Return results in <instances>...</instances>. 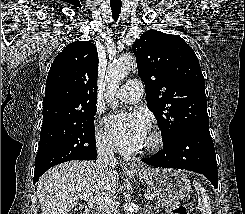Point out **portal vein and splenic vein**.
<instances>
[{
	"label": "portal vein and splenic vein",
	"instance_id": "obj_1",
	"mask_svg": "<svg viewBox=\"0 0 245 214\" xmlns=\"http://www.w3.org/2000/svg\"><path fill=\"white\" fill-rule=\"evenodd\" d=\"M144 197L146 199L153 201V197H151L148 194H144ZM81 198L86 202L94 203L100 207L116 205V202L113 201L110 197H97V196H93L92 194H88V195H83Z\"/></svg>",
	"mask_w": 245,
	"mask_h": 214
}]
</instances>
